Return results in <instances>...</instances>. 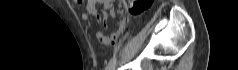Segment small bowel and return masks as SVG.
Segmentation results:
<instances>
[{"mask_svg": "<svg viewBox=\"0 0 238 70\" xmlns=\"http://www.w3.org/2000/svg\"><path fill=\"white\" fill-rule=\"evenodd\" d=\"M96 5H101L103 9V15L105 18L114 17L115 11L113 9L111 0H90L89 1V11L91 13H96ZM126 22L124 20L119 23V30L113 33L111 36H107L105 33L98 31L96 37L103 45L115 44L118 40L120 31L125 27Z\"/></svg>", "mask_w": 238, "mask_h": 70, "instance_id": "c3829d8e", "label": "small bowel"}]
</instances>
